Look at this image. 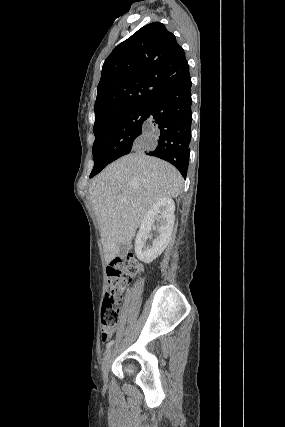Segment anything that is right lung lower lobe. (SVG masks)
Masks as SVG:
<instances>
[{
	"label": "right lung lower lobe",
	"mask_w": 285,
	"mask_h": 427,
	"mask_svg": "<svg viewBox=\"0 0 285 427\" xmlns=\"http://www.w3.org/2000/svg\"><path fill=\"white\" fill-rule=\"evenodd\" d=\"M191 85L188 74L147 103L143 135L150 140L142 142L146 154L168 161L184 178L187 175L191 141Z\"/></svg>",
	"instance_id": "98d812e1"
}]
</instances>
